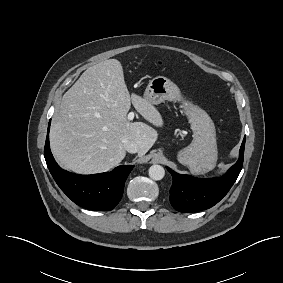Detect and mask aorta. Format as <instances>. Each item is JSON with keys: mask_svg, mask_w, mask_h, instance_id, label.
<instances>
[{"mask_svg": "<svg viewBox=\"0 0 283 283\" xmlns=\"http://www.w3.org/2000/svg\"><path fill=\"white\" fill-rule=\"evenodd\" d=\"M149 176L153 180H161L165 176V170L161 165H152L149 168Z\"/></svg>", "mask_w": 283, "mask_h": 283, "instance_id": "aorta-1", "label": "aorta"}]
</instances>
